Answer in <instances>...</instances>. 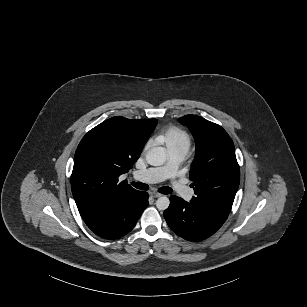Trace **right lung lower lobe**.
Wrapping results in <instances>:
<instances>
[{
  "mask_svg": "<svg viewBox=\"0 0 307 307\" xmlns=\"http://www.w3.org/2000/svg\"><path fill=\"white\" fill-rule=\"evenodd\" d=\"M147 206L148 193L136 190L82 218L96 235L117 239L134 228Z\"/></svg>",
  "mask_w": 307,
  "mask_h": 307,
  "instance_id": "obj_1",
  "label": "right lung lower lobe"
}]
</instances>
